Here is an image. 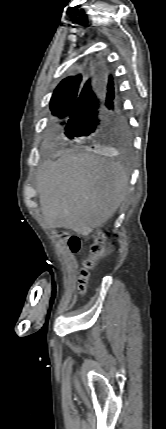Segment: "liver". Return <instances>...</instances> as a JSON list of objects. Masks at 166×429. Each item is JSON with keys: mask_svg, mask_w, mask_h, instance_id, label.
Returning <instances> with one entry per match:
<instances>
[{"mask_svg": "<svg viewBox=\"0 0 166 429\" xmlns=\"http://www.w3.org/2000/svg\"><path fill=\"white\" fill-rule=\"evenodd\" d=\"M37 190L45 222L83 236L105 224L125 200L129 176L119 163L94 154H64L43 162Z\"/></svg>", "mask_w": 166, "mask_h": 429, "instance_id": "1", "label": "liver"}]
</instances>
